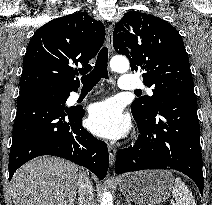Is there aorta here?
Returning <instances> with one entry per match:
<instances>
[{
  "label": "aorta",
  "mask_w": 212,
  "mask_h": 205,
  "mask_svg": "<svg viewBox=\"0 0 212 205\" xmlns=\"http://www.w3.org/2000/svg\"><path fill=\"white\" fill-rule=\"evenodd\" d=\"M110 67L115 72L125 73L129 70L130 63L124 56H114L110 61ZM100 205H113V198L110 192L103 194Z\"/></svg>",
  "instance_id": "obj_1"
}]
</instances>
